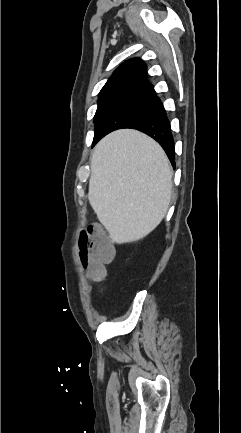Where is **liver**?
<instances>
[{
  "mask_svg": "<svg viewBox=\"0 0 241 433\" xmlns=\"http://www.w3.org/2000/svg\"><path fill=\"white\" fill-rule=\"evenodd\" d=\"M173 171L162 147L147 135L121 129L94 148L88 199L112 241L135 242L163 220Z\"/></svg>",
  "mask_w": 241,
  "mask_h": 433,
  "instance_id": "6515ba94",
  "label": "liver"
}]
</instances>
